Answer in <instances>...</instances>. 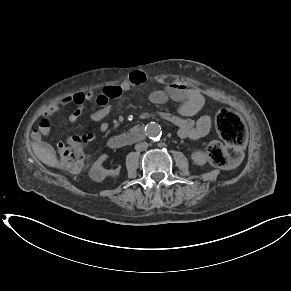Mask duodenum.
<instances>
[{
    "label": "duodenum",
    "instance_id": "duodenum-1",
    "mask_svg": "<svg viewBox=\"0 0 291 291\" xmlns=\"http://www.w3.org/2000/svg\"><path fill=\"white\" fill-rule=\"evenodd\" d=\"M143 136H144V125L138 124L129 132L110 138L108 141V146L112 149L123 148L140 141L143 138Z\"/></svg>",
    "mask_w": 291,
    "mask_h": 291
}]
</instances>
